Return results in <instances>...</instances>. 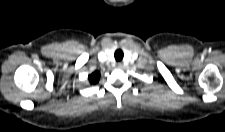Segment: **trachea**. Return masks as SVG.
I'll return each instance as SVG.
<instances>
[{"mask_svg": "<svg viewBox=\"0 0 225 132\" xmlns=\"http://www.w3.org/2000/svg\"><path fill=\"white\" fill-rule=\"evenodd\" d=\"M123 56H124V54L121 49L116 50L114 53V57H115L116 61H121L123 59Z\"/></svg>", "mask_w": 225, "mask_h": 132, "instance_id": "1", "label": "trachea"}]
</instances>
